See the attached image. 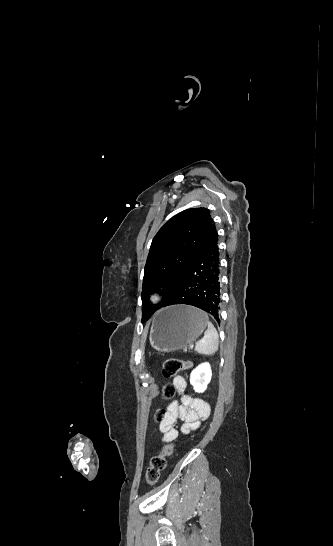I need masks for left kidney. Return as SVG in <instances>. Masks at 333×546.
Here are the masks:
<instances>
[{
  "label": "left kidney",
  "mask_w": 333,
  "mask_h": 546,
  "mask_svg": "<svg viewBox=\"0 0 333 546\" xmlns=\"http://www.w3.org/2000/svg\"><path fill=\"white\" fill-rule=\"evenodd\" d=\"M212 372L208 362L202 363L197 366L190 375V383L194 390L198 393H202L206 390L208 383L211 380Z\"/></svg>",
  "instance_id": "5707ae66"
}]
</instances>
